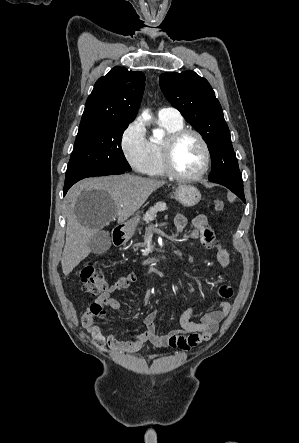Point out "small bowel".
<instances>
[{"label":"small bowel","instance_id":"obj_1","mask_svg":"<svg viewBox=\"0 0 299 443\" xmlns=\"http://www.w3.org/2000/svg\"><path fill=\"white\" fill-rule=\"evenodd\" d=\"M191 224L193 229L189 233V238L192 240L198 239L206 248L216 250L218 263L224 268L229 267L231 264L230 255L216 239L207 217L199 214L192 219ZM174 225L178 232H182L187 227L188 220L184 215L177 214L174 217ZM136 279L137 276L134 273L118 278L97 297L95 303L113 310H119L121 304L116 298L112 297V294L128 288ZM218 293L220 300L217 302V307L205 313L200 321L192 320L197 308L189 307L180 315V329L161 334L156 327L158 310H153L144 318L146 327L144 332L129 334L126 340H118L115 335L109 334L102 336L101 341L116 353L137 352L147 342L158 348L170 347L190 351L199 344L209 341L216 333L220 322L227 317L231 310L229 299L233 296L232 286L223 283L219 286ZM81 321L86 328L99 333V328L94 325V316L90 310L82 316Z\"/></svg>","mask_w":299,"mask_h":443}]
</instances>
